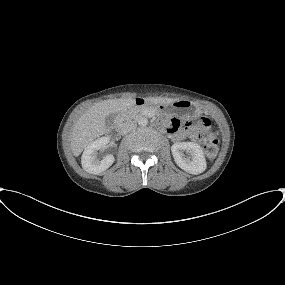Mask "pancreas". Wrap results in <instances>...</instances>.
Returning a JSON list of instances; mask_svg holds the SVG:
<instances>
[{
  "label": "pancreas",
  "instance_id": "pancreas-1",
  "mask_svg": "<svg viewBox=\"0 0 285 285\" xmlns=\"http://www.w3.org/2000/svg\"><path fill=\"white\" fill-rule=\"evenodd\" d=\"M148 112H154V111L146 109V108L130 107L126 111L123 112L121 119H122V121L135 119V118H137L141 115H144Z\"/></svg>",
  "mask_w": 285,
  "mask_h": 285
}]
</instances>
